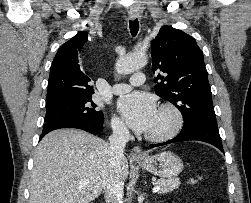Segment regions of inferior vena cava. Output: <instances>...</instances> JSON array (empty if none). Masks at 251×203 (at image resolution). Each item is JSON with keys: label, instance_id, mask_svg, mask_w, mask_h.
<instances>
[{"label": "inferior vena cava", "instance_id": "1", "mask_svg": "<svg viewBox=\"0 0 251 203\" xmlns=\"http://www.w3.org/2000/svg\"><path fill=\"white\" fill-rule=\"evenodd\" d=\"M113 133L109 137L108 154L110 156L111 172L104 181L106 203H122L124 179L121 172V161L124 158V148L129 141V130L121 122L112 124Z\"/></svg>", "mask_w": 251, "mask_h": 203}]
</instances>
